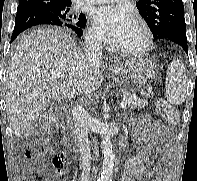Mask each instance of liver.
I'll return each instance as SVG.
<instances>
[{"mask_svg":"<svg viewBox=\"0 0 197 181\" xmlns=\"http://www.w3.org/2000/svg\"><path fill=\"white\" fill-rule=\"evenodd\" d=\"M130 65L128 61L111 69L101 62L90 64L72 37L59 30L40 28L24 36L6 74L7 116L13 134L27 138L50 99L72 98L98 89L102 68L120 76L129 71ZM58 71L65 77H52Z\"/></svg>","mask_w":197,"mask_h":181,"instance_id":"obj_1","label":"liver"}]
</instances>
